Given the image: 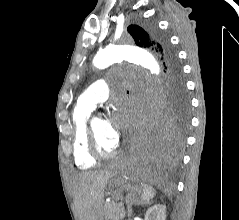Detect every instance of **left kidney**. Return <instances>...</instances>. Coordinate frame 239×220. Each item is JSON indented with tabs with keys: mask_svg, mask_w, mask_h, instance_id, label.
<instances>
[{
	"mask_svg": "<svg viewBox=\"0 0 239 220\" xmlns=\"http://www.w3.org/2000/svg\"><path fill=\"white\" fill-rule=\"evenodd\" d=\"M144 220H166V206L157 204L150 207L146 211Z\"/></svg>",
	"mask_w": 239,
	"mask_h": 220,
	"instance_id": "5707ae66",
	"label": "left kidney"
}]
</instances>
